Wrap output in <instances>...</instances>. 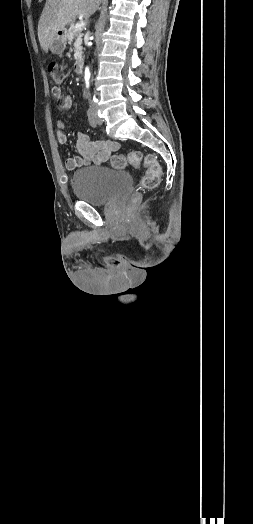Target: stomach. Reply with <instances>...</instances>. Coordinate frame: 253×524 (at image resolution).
Here are the masks:
<instances>
[{
    "mask_svg": "<svg viewBox=\"0 0 253 524\" xmlns=\"http://www.w3.org/2000/svg\"><path fill=\"white\" fill-rule=\"evenodd\" d=\"M66 48V36H65V30H60L55 35L54 39L52 40L49 49L53 54L60 55L64 52Z\"/></svg>",
    "mask_w": 253,
    "mask_h": 524,
    "instance_id": "stomach-1",
    "label": "stomach"
}]
</instances>
